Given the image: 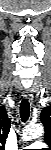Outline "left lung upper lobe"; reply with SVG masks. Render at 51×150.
<instances>
[{
  "instance_id": "left-lung-upper-lobe-1",
  "label": "left lung upper lobe",
  "mask_w": 51,
  "mask_h": 150,
  "mask_svg": "<svg viewBox=\"0 0 51 150\" xmlns=\"http://www.w3.org/2000/svg\"><path fill=\"white\" fill-rule=\"evenodd\" d=\"M40 120L43 123L45 127V135L44 140L48 145L51 144V107H45L41 114H40Z\"/></svg>"
}]
</instances>
